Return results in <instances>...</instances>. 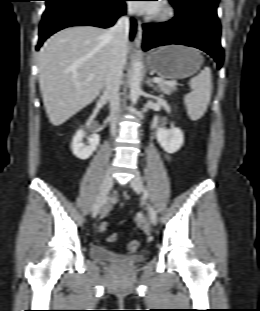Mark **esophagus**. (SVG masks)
<instances>
[{
  "instance_id": "obj_1",
  "label": "esophagus",
  "mask_w": 260,
  "mask_h": 311,
  "mask_svg": "<svg viewBox=\"0 0 260 311\" xmlns=\"http://www.w3.org/2000/svg\"><path fill=\"white\" fill-rule=\"evenodd\" d=\"M142 41V23L140 20L137 21V34L135 38V44L137 46H140Z\"/></svg>"
}]
</instances>
